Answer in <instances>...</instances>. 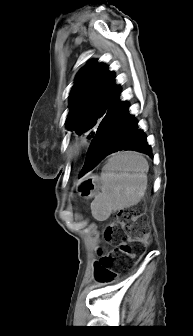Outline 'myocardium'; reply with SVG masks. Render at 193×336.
<instances>
[{"mask_svg":"<svg viewBox=\"0 0 193 336\" xmlns=\"http://www.w3.org/2000/svg\"><path fill=\"white\" fill-rule=\"evenodd\" d=\"M80 151V146L78 144L74 145L71 149H70V156H75L79 153Z\"/></svg>","mask_w":193,"mask_h":336,"instance_id":"obj_1","label":"myocardium"}]
</instances>
